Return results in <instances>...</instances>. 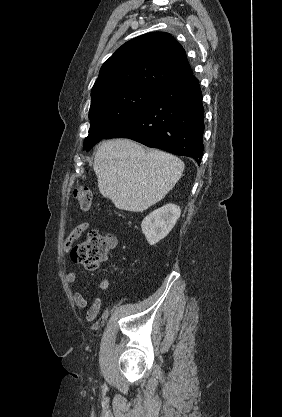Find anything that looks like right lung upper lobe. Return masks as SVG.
I'll return each mask as SVG.
<instances>
[{"instance_id":"obj_1","label":"right lung upper lobe","mask_w":282,"mask_h":417,"mask_svg":"<svg viewBox=\"0 0 282 417\" xmlns=\"http://www.w3.org/2000/svg\"><path fill=\"white\" fill-rule=\"evenodd\" d=\"M192 75L183 47L170 34L151 32L123 44L103 64L91 96L125 89L158 92Z\"/></svg>"}]
</instances>
